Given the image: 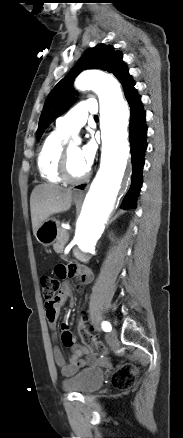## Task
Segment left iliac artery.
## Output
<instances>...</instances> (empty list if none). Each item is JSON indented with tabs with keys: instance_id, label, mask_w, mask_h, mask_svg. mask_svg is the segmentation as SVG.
I'll use <instances>...</instances> for the list:
<instances>
[{
	"instance_id": "1",
	"label": "left iliac artery",
	"mask_w": 183,
	"mask_h": 438,
	"mask_svg": "<svg viewBox=\"0 0 183 438\" xmlns=\"http://www.w3.org/2000/svg\"><path fill=\"white\" fill-rule=\"evenodd\" d=\"M102 329H103L105 332H110L111 329H112L111 324H110L109 322H107V321H103V322H102Z\"/></svg>"
}]
</instances>
